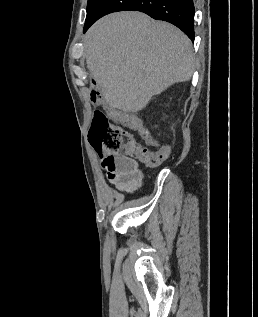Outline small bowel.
<instances>
[{"label":"small bowel","mask_w":258,"mask_h":317,"mask_svg":"<svg viewBox=\"0 0 258 317\" xmlns=\"http://www.w3.org/2000/svg\"><path fill=\"white\" fill-rule=\"evenodd\" d=\"M115 121L119 125L137 131L148 145L155 148L156 152L163 153L164 160L169 157L170 147L157 141L139 118L119 113ZM98 154L102 158L101 164L107 173L108 180L119 191L133 193L139 189L142 182V173L135 160L120 155L103 156L100 152Z\"/></svg>","instance_id":"small-bowel-1"}]
</instances>
